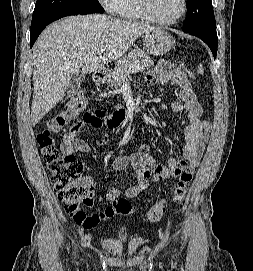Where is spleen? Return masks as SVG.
Returning a JSON list of instances; mask_svg holds the SVG:
<instances>
[{"instance_id":"3e777b00","label":"spleen","mask_w":253,"mask_h":271,"mask_svg":"<svg viewBox=\"0 0 253 271\" xmlns=\"http://www.w3.org/2000/svg\"><path fill=\"white\" fill-rule=\"evenodd\" d=\"M198 73H200V74H203V73H204V69H203L202 65H200V66L198 67Z\"/></svg>"}]
</instances>
